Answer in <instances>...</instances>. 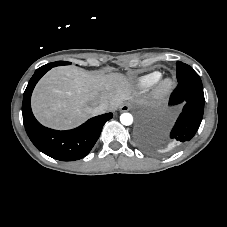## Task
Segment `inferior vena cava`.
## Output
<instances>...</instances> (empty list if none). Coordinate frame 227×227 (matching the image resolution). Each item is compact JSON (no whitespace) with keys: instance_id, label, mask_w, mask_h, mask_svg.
Here are the masks:
<instances>
[{"instance_id":"inferior-vena-cava-1","label":"inferior vena cava","mask_w":227,"mask_h":227,"mask_svg":"<svg viewBox=\"0 0 227 227\" xmlns=\"http://www.w3.org/2000/svg\"><path fill=\"white\" fill-rule=\"evenodd\" d=\"M108 110V104L106 102H100L93 107L95 115L105 113Z\"/></svg>"}]
</instances>
